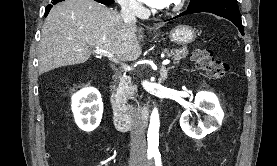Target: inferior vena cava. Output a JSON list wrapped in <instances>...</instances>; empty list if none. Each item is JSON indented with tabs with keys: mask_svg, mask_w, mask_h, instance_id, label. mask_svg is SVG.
I'll return each mask as SVG.
<instances>
[{
	"mask_svg": "<svg viewBox=\"0 0 277 166\" xmlns=\"http://www.w3.org/2000/svg\"><path fill=\"white\" fill-rule=\"evenodd\" d=\"M120 14L125 23H136L135 9L133 6H131L128 0H125V2L121 4ZM130 155L132 158H144L146 156V140L144 129L141 122L137 118V115L135 116L133 128L131 131Z\"/></svg>",
	"mask_w": 277,
	"mask_h": 166,
	"instance_id": "obj_1",
	"label": "inferior vena cava"
}]
</instances>
